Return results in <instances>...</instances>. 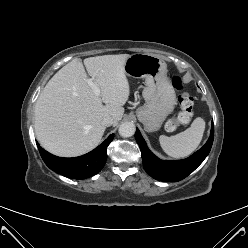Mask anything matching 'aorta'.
<instances>
[{"label":"aorta","mask_w":248,"mask_h":248,"mask_svg":"<svg viewBox=\"0 0 248 248\" xmlns=\"http://www.w3.org/2000/svg\"><path fill=\"white\" fill-rule=\"evenodd\" d=\"M136 130V127L133 123L131 122H124L120 125L119 127V134L122 137H131L134 135Z\"/></svg>","instance_id":"1"}]
</instances>
